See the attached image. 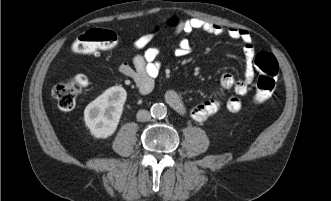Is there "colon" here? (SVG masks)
<instances>
[{
    "label": "colon",
    "instance_id": "obj_1",
    "mask_svg": "<svg viewBox=\"0 0 331 201\" xmlns=\"http://www.w3.org/2000/svg\"><path fill=\"white\" fill-rule=\"evenodd\" d=\"M121 41L120 36L109 29L93 28L81 34L73 43L75 53L95 54L116 47ZM255 65L259 71L256 82L254 100L256 103L267 101L273 94L278 76V64L269 52H260L255 57ZM87 85L83 74H75L57 82L51 94L59 108L68 111L74 108L77 98Z\"/></svg>",
    "mask_w": 331,
    "mask_h": 201
}]
</instances>
